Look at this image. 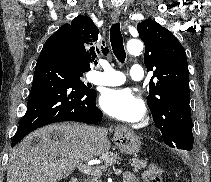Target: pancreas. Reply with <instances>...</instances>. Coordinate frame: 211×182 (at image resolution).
<instances>
[{"mask_svg": "<svg viewBox=\"0 0 211 182\" xmlns=\"http://www.w3.org/2000/svg\"><path fill=\"white\" fill-rule=\"evenodd\" d=\"M101 160L105 163L103 166L97 167L94 169L91 178L87 180V182H100V177L102 176L101 170L106 169L108 166L119 164L121 160L120 155L117 152H106L102 154ZM146 161L139 160L137 158L132 159L131 166L133 167V171L138 173L140 169L146 168Z\"/></svg>", "mask_w": 211, "mask_h": 182, "instance_id": "1", "label": "pancreas"}]
</instances>
